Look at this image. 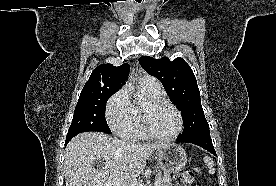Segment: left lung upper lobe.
Masks as SVG:
<instances>
[{"label":"left lung upper lobe","mask_w":276,"mask_h":186,"mask_svg":"<svg viewBox=\"0 0 276 186\" xmlns=\"http://www.w3.org/2000/svg\"><path fill=\"white\" fill-rule=\"evenodd\" d=\"M139 62L147 73L162 82L168 96L183 114L184 130L179 137L209 131L196 78L182 58L170 61L167 57L154 59L142 56Z\"/></svg>","instance_id":"left-lung-upper-lobe-1"}]
</instances>
